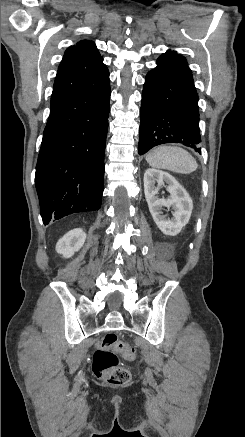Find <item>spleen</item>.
I'll return each instance as SVG.
<instances>
[{"mask_svg":"<svg viewBox=\"0 0 245 437\" xmlns=\"http://www.w3.org/2000/svg\"><path fill=\"white\" fill-rule=\"evenodd\" d=\"M146 161L154 168L189 174L198 168L195 158L177 146H158L146 155Z\"/></svg>","mask_w":245,"mask_h":437,"instance_id":"spleen-1","label":"spleen"}]
</instances>
